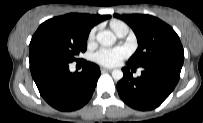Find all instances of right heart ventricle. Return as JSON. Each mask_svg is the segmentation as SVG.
I'll list each match as a JSON object with an SVG mask.
<instances>
[{
    "mask_svg": "<svg viewBox=\"0 0 203 123\" xmlns=\"http://www.w3.org/2000/svg\"><path fill=\"white\" fill-rule=\"evenodd\" d=\"M123 22L118 21V20H113L110 25L111 28L115 31L117 29L118 26H120Z\"/></svg>",
    "mask_w": 203,
    "mask_h": 123,
    "instance_id": "e07e8e85",
    "label": "right heart ventricle"
}]
</instances>
